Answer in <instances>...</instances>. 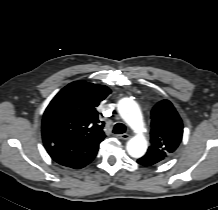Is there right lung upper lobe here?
Here are the masks:
<instances>
[{
    "instance_id": "obj_1",
    "label": "right lung upper lobe",
    "mask_w": 218,
    "mask_h": 210,
    "mask_svg": "<svg viewBox=\"0 0 218 210\" xmlns=\"http://www.w3.org/2000/svg\"><path fill=\"white\" fill-rule=\"evenodd\" d=\"M110 93L104 85L85 81L68 84L46 108L42 136L56 135L81 143L103 140L104 124L99 121L97 106Z\"/></svg>"
}]
</instances>
